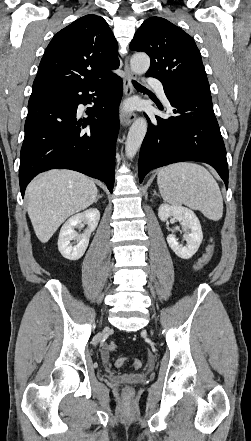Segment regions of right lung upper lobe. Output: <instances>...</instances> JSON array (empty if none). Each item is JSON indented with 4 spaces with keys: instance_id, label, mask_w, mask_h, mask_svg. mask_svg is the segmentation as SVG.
<instances>
[{
    "instance_id": "cb5924a9",
    "label": "right lung upper lobe",
    "mask_w": 251,
    "mask_h": 441,
    "mask_svg": "<svg viewBox=\"0 0 251 441\" xmlns=\"http://www.w3.org/2000/svg\"><path fill=\"white\" fill-rule=\"evenodd\" d=\"M118 44L106 21L83 16L51 40L41 59L32 93L60 91L106 79L119 67Z\"/></svg>"
}]
</instances>
